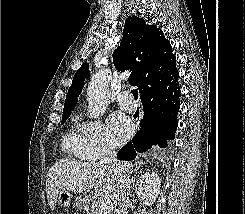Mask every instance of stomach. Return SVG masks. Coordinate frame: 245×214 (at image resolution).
Here are the masks:
<instances>
[{
	"mask_svg": "<svg viewBox=\"0 0 245 214\" xmlns=\"http://www.w3.org/2000/svg\"><path fill=\"white\" fill-rule=\"evenodd\" d=\"M72 198V194L67 190H61L58 195V205L61 207H68L70 205V201ZM75 205L77 208L84 209L88 207V199L82 198L81 196L75 198Z\"/></svg>",
	"mask_w": 245,
	"mask_h": 214,
	"instance_id": "stomach-1",
	"label": "stomach"
}]
</instances>
